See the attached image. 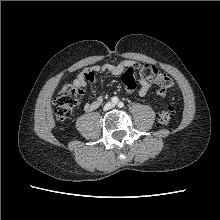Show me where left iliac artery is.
Listing matches in <instances>:
<instances>
[{"mask_svg":"<svg viewBox=\"0 0 220 220\" xmlns=\"http://www.w3.org/2000/svg\"><path fill=\"white\" fill-rule=\"evenodd\" d=\"M118 106H119L120 108H122V107L124 106V103H123V102H119V103H118Z\"/></svg>","mask_w":220,"mask_h":220,"instance_id":"1","label":"left iliac artery"}]
</instances>
